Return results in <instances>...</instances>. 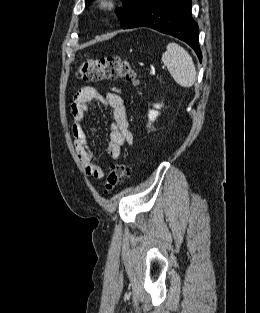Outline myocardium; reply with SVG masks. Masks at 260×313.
<instances>
[{"label":"myocardium","mask_w":260,"mask_h":313,"mask_svg":"<svg viewBox=\"0 0 260 313\" xmlns=\"http://www.w3.org/2000/svg\"><path fill=\"white\" fill-rule=\"evenodd\" d=\"M116 0H99V6L101 9L110 11L116 7Z\"/></svg>","instance_id":"f54148a6"}]
</instances>
